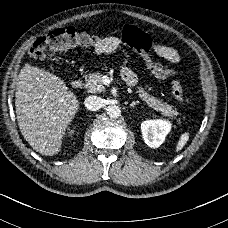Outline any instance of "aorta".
<instances>
[{"label":"aorta","mask_w":228,"mask_h":228,"mask_svg":"<svg viewBox=\"0 0 228 228\" xmlns=\"http://www.w3.org/2000/svg\"><path fill=\"white\" fill-rule=\"evenodd\" d=\"M107 114L111 118H118L121 115V108L115 105H111L107 108Z\"/></svg>","instance_id":"obj_1"}]
</instances>
